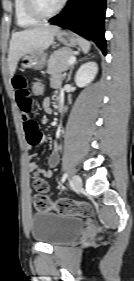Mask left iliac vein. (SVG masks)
Instances as JSON below:
<instances>
[{
	"instance_id": "left-iliac-vein-1",
	"label": "left iliac vein",
	"mask_w": 134,
	"mask_h": 281,
	"mask_svg": "<svg viewBox=\"0 0 134 281\" xmlns=\"http://www.w3.org/2000/svg\"><path fill=\"white\" fill-rule=\"evenodd\" d=\"M73 190L77 191L82 187V180L78 175H74L71 180Z\"/></svg>"
}]
</instances>
